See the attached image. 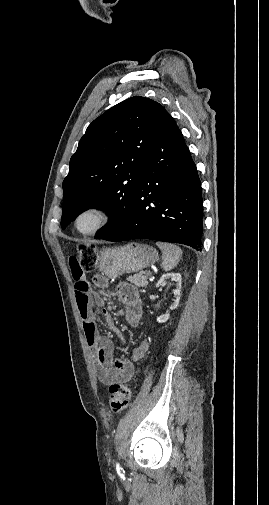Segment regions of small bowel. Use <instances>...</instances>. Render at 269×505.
<instances>
[{"mask_svg": "<svg viewBox=\"0 0 269 505\" xmlns=\"http://www.w3.org/2000/svg\"><path fill=\"white\" fill-rule=\"evenodd\" d=\"M67 267L72 271L75 280V295L78 310L83 321V330L88 347L93 353L95 370L98 380L104 385L125 383L134 374L133 363L142 359L149 350V341L143 340L139 346L133 349L130 357L113 359V343L99 334L96 317L102 315L106 324L116 331L113 318L105 308L95 310L94 306L102 307L104 300L98 295H90L89 284L86 278L89 274L82 271L79 259H69ZM94 283L98 287L105 286V280L97 275ZM117 294L125 305V318L132 327H138L141 323L142 307L138 292L128 284H122L117 288Z\"/></svg>", "mask_w": 269, "mask_h": 505, "instance_id": "1", "label": "small bowel"}]
</instances>
